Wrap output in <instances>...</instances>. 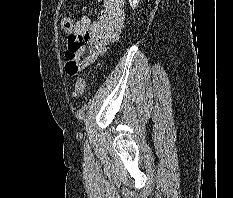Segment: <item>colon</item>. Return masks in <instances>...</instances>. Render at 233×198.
Segmentation results:
<instances>
[{"label":"colon","mask_w":233,"mask_h":198,"mask_svg":"<svg viewBox=\"0 0 233 198\" xmlns=\"http://www.w3.org/2000/svg\"><path fill=\"white\" fill-rule=\"evenodd\" d=\"M61 26L65 32L69 33L73 29L74 22L70 17H64L61 20ZM65 70L67 74L71 76H74L79 72V66H78L77 61L75 60V56L73 52H69L66 56ZM85 88H86V84H85L84 79L82 78L77 79L75 83V95L81 96L83 92L85 91Z\"/></svg>","instance_id":"colon-1"}]
</instances>
